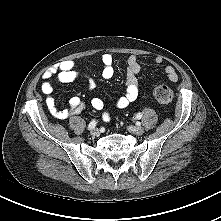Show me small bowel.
<instances>
[{
  "mask_svg": "<svg viewBox=\"0 0 221 221\" xmlns=\"http://www.w3.org/2000/svg\"><path fill=\"white\" fill-rule=\"evenodd\" d=\"M100 62L102 65V76L105 79H109L114 75L113 58L110 54L104 53L100 56ZM163 59L161 57L155 58L156 64H162ZM127 72H126V90L125 93L120 96L116 101V106L120 109L128 107L138 97V80L137 76L140 72V65L135 55H130L127 58ZM164 72L171 82L178 81V74L174 67L166 66ZM53 75L57 76V79L62 83L74 82L81 77V74L75 69V62L73 60H65L47 70L44 75V82L42 84V91L46 95H50L53 91V85L50 81ZM94 82L88 79V88H94ZM91 105L96 110H102L104 108V102L99 97H94L91 100ZM46 106L52 116L58 119H66L73 115L80 114L84 109V103L80 97L74 96L69 100V108L59 110L56 108V103L53 97L48 96L46 98ZM102 119L104 121H110L111 115L109 112L104 111L102 113Z\"/></svg>",
  "mask_w": 221,
  "mask_h": 221,
  "instance_id": "small-bowel-1",
  "label": "small bowel"
}]
</instances>
